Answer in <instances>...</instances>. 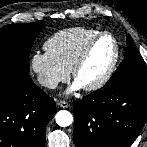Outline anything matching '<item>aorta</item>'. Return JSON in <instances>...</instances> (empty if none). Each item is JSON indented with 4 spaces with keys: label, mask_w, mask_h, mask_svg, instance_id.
I'll list each match as a JSON object with an SVG mask.
<instances>
[{
    "label": "aorta",
    "mask_w": 147,
    "mask_h": 147,
    "mask_svg": "<svg viewBox=\"0 0 147 147\" xmlns=\"http://www.w3.org/2000/svg\"><path fill=\"white\" fill-rule=\"evenodd\" d=\"M56 123L61 127H67L72 124L73 116L67 110H61L55 115Z\"/></svg>",
    "instance_id": "762f6f07"
}]
</instances>
